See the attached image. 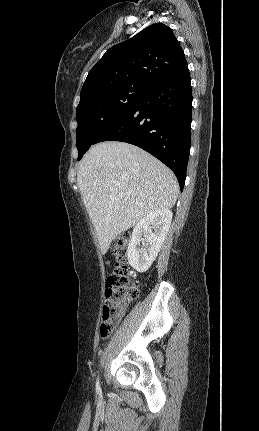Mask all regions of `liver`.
Segmentation results:
<instances>
[{"label":"liver","instance_id":"1","mask_svg":"<svg viewBox=\"0 0 259 431\" xmlns=\"http://www.w3.org/2000/svg\"><path fill=\"white\" fill-rule=\"evenodd\" d=\"M77 182L102 254L149 213L172 208L179 194L168 167L143 149L119 141L92 146L80 164Z\"/></svg>","mask_w":259,"mask_h":431}]
</instances>
